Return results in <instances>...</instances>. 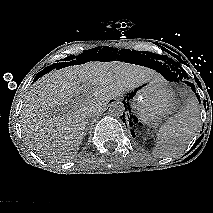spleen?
I'll return each mask as SVG.
<instances>
[{"instance_id": "obj_1", "label": "spleen", "mask_w": 213, "mask_h": 213, "mask_svg": "<svg viewBox=\"0 0 213 213\" xmlns=\"http://www.w3.org/2000/svg\"><path fill=\"white\" fill-rule=\"evenodd\" d=\"M200 125L199 104L192 97L177 114L160 127L156 148L166 155L186 148Z\"/></svg>"}]
</instances>
